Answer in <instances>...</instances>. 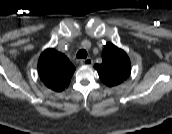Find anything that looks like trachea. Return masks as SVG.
Listing matches in <instances>:
<instances>
[{
    "label": "trachea",
    "instance_id": "trachea-1",
    "mask_svg": "<svg viewBox=\"0 0 172 134\" xmlns=\"http://www.w3.org/2000/svg\"><path fill=\"white\" fill-rule=\"evenodd\" d=\"M76 57L85 59L87 57V51L84 49L79 50Z\"/></svg>",
    "mask_w": 172,
    "mask_h": 134
}]
</instances>
